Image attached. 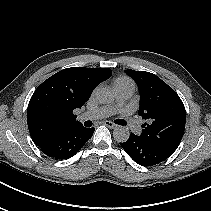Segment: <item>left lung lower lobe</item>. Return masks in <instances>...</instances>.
Wrapping results in <instances>:
<instances>
[{"label":"left lung lower lobe","instance_id":"1","mask_svg":"<svg viewBox=\"0 0 211 211\" xmlns=\"http://www.w3.org/2000/svg\"><path fill=\"white\" fill-rule=\"evenodd\" d=\"M120 145L137 164L142 166H153L169 157L133 133L130 134L127 141Z\"/></svg>","mask_w":211,"mask_h":211}]
</instances>
